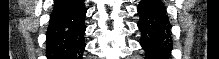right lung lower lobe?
Masks as SVG:
<instances>
[{"label": "right lung lower lobe", "instance_id": "obj_1", "mask_svg": "<svg viewBox=\"0 0 219 59\" xmlns=\"http://www.w3.org/2000/svg\"><path fill=\"white\" fill-rule=\"evenodd\" d=\"M83 0H56L47 30L48 59H82L85 49Z\"/></svg>", "mask_w": 219, "mask_h": 59}]
</instances>
